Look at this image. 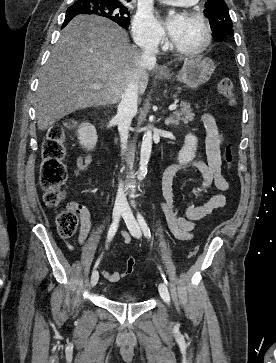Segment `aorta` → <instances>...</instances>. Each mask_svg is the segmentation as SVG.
<instances>
[{
  "label": "aorta",
  "instance_id": "762f6f07",
  "mask_svg": "<svg viewBox=\"0 0 276 363\" xmlns=\"http://www.w3.org/2000/svg\"><path fill=\"white\" fill-rule=\"evenodd\" d=\"M175 11L171 10L170 15H174ZM152 149V131L150 128L146 129L143 137L141 151H140V168L138 179L142 180L147 174V165L150 159Z\"/></svg>",
  "mask_w": 276,
  "mask_h": 363
}]
</instances>
